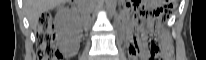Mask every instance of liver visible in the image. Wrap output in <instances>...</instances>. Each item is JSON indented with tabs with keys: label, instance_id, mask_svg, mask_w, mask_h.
<instances>
[{
	"label": "liver",
	"instance_id": "1",
	"mask_svg": "<svg viewBox=\"0 0 206 60\" xmlns=\"http://www.w3.org/2000/svg\"><path fill=\"white\" fill-rule=\"evenodd\" d=\"M65 0H24V8L31 28L36 29L38 19L47 12L64 3Z\"/></svg>",
	"mask_w": 206,
	"mask_h": 60
}]
</instances>
